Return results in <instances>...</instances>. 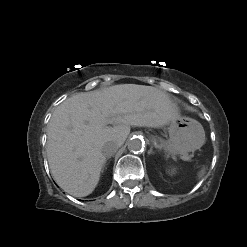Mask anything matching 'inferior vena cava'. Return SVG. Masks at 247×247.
<instances>
[{
  "label": "inferior vena cava",
  "instance_id": "inferior-vena-cava-1",
  "mask_svg": "<svg viewBox=\"0 0 247 247\" xmlns=\"http://www.w3.org/2000/svg\"><path fill=\"white\" fill-rule=\"evenodd\" d=\"M119 147L120 144L118 142L109 141L103 145L102 152L106 157H111L117 152Z\"/></svg>",
  "mask_w": 247,
  "mask_h": 247
}]
</instances>
